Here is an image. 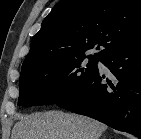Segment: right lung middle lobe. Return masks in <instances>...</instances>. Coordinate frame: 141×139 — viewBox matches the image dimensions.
Segmentation results:
<instances>
[{
  "mask_svg": "<svg viewBox=\"0 0 141 139\" xmlns=\"http://www.w3.org/2000/svg\"><path fill=\"white\" fill-rule=\"evenodd\" d=\"M85 56L21 70L18 106L57 104L81 88L98 70L96 62L101 60Z\"/></svg>",
  "mask_w": 141,
  "mask_h": 139,
  "instance_id": "dd1d6c3e",
  "label": "right lung middle lobe"
}]
</instances>
